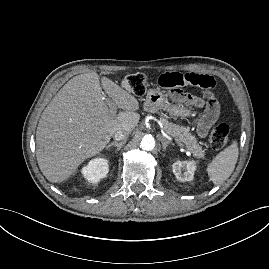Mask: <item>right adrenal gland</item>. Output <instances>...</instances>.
Wrapping results in <instances>:
<instances>
[{
  "instance_id": "right-adrenal-gland-1",
  "label": "right adrenal gland",
  "mask_w": 269,
  "mask_h": 269,
  "mask_svg": "<svg viewBox=\"0 0 269 269\" xmlns=\"http://www.w3.org/2000/svg\"><path fill=\"white\" fill-rule=\"evenodd\" d=\"M125 144V141L122 142H112L106 146V149H109L110 147L114 146L117 147V151H119L123 145Z\"/></svg>"
}]
</instances>
